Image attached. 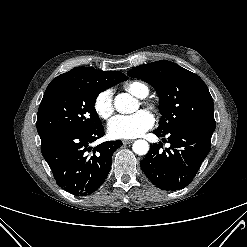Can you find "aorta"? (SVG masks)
<instances>
[{
  "instance_id": "obj_1",
  "label": "aorta",
  "mask_w": 247,
  "mask_h": 247,
  "mask_svg": "<svg viewBox=\"0 0 247 247\" xmlns=\"http://www.w3.org/2000/svg\"><path fill=\"white\" fill-rule=\"evenodd\" d=\"M114 106L118 112L123 114L133 113L137 109L135 99L127 93L118 94L115 97ZM132 149L138 155H145L149 151V144L146 140H136L133 143Z\"/></svg>"
}]
</instances>
